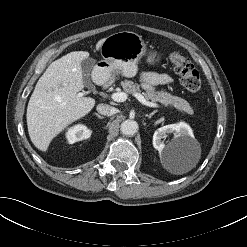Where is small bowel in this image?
Wrapping results in <instances>:
<instances>
[{
	"mask_svg": "<svg viewBox=\"0 0 247 247\" xmlns=\"http://www.w3.org/2000/svg\"><path fill=\"white\" fill-rule=\"evenodd\" d=\"M141 79L147 90H152L157 85L167 84L172 81L171 77L167 74L156 72H144L141 75Z\"/></svg>",
	"mask_w": 247,
	"mask_h": 247,
	"instance_id": "c3829d8e",
	"label": "small bowel"
}]
</instances>
